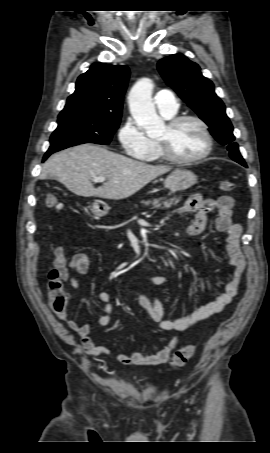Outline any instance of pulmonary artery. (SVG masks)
<instances>
[{
  "mask_svg": "<svg viewBox=\"0 0 270 453\" xmlns=\"http://www.w3.org/2000/svg\"><path fill=\"white\" fill-rule=\"evenodd\" d=\"M154 103L164 116H173L178 111V102L170 90H160L154 96Z\"/></svg>",
  "mask_w": 270,
  "mask_h": 453,
  "instance_id": "pulmonary-artery-1",
  "label": "pulmonary artery"
}]
</instances>
